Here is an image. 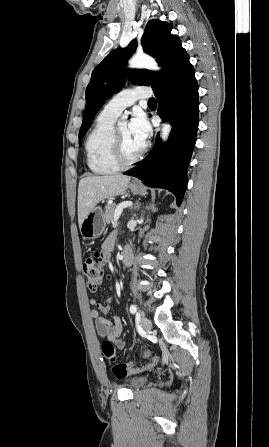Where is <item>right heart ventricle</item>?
<instances>
[{"label":"right heart ventricle","mask_w":269,"mask_h":447,"mask_svg":"<svg viewBox=\"0 0 269 447\" xmlns=\"http://www.w3.org/2000/svg\"><path fill=\"white\" fill-rule=\"evenodd\" d=\"M115 119V116L101 111L87 138V163L90 170L96 174H107L119 169L111 152V135Z\"/></svg>","instance_id":"obj_1"}]
</instances>
